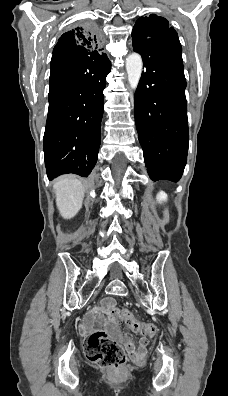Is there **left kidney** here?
I'll list each match as a JSON object with an SVG mask.
<instances>
[{
    "label": "left kidney",
    "instance_id": "left-kidney-1",
    "mask_svg": "<svg viewBox=\"0 0 228 396\" xmlns=\"http://www.w3.org/2000/svg\"><path fill=\"white\" fill-rule=\"evenodd\" d=\"M158 201H165L167 199V195L164 192H159L157 195Z\"/></svg>",
    "mask_w": 228,
    "mask_h": 396
}]
</instances>
